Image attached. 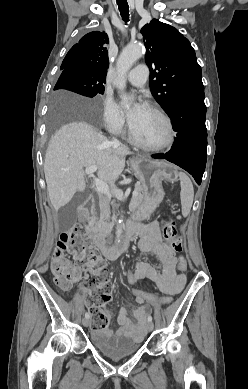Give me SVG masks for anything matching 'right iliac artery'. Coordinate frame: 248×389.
Returning <instances> with one entry per match:
<instances>
[{"label":"right iliac artery","instance_id":"obj_1","mask_svg":"<svg viewBox=\"0 0 248 389\" xmlns=\"http://www.w3.org/2000/svg\"><path fill=\"white\" fill-rule=\"evenodd\" d=\"M89 317H90L89 313H85V318H89Z\"/></svg>","mask_w":248,"mask_h":389}]
</instances>
